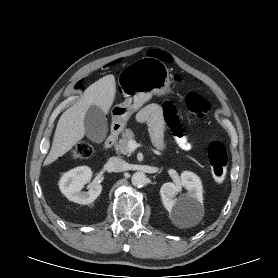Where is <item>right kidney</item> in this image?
I'll use <instances>...</instances> for the list:
<instances>
[{
    "label": "right kidney",
    "mask_w": 278,
    "mask_h": 278,
    "mask_svg": "<svg viewBox=\"0 0 278 278\" xmlns=\"http://www.w3.org/2000/svg\"><path fill=\"white\" fill-rule=\"evenodd\" d=\"M91 177L92 171L89 167H76L64 173L59 181V188L70 201L84 205L92 203L100 195L102 185H94L87 192L81 191Z\"/></svg>",
    "instance_id": "right-kidney-1"
}]
</instances>
